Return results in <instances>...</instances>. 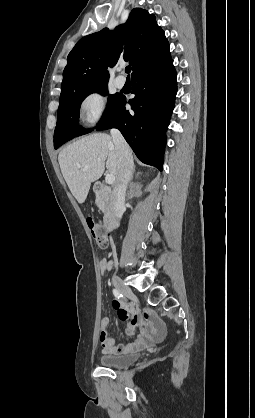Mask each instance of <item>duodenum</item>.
I'll list each match as a JSON object with an SVG mask.
<instances>
[{
    "instance_id": "duodenum-1",
    "label": "duodenum",
    "mask_w": 255,
    "mask_h": 418,
    "mask_svg": "<svg viewBox=\"0 0 255 418\" xmlns=\"http://www.w3.org/2000/svg\"><path fill=\"white\" fill-rule=\"evenodd\" d=\"M94 192L106 201V212L104 218V228L112 232L119 227V206L114 200L111 187L97 182L94 185Z\"/></svg>"
}]
</instances>
